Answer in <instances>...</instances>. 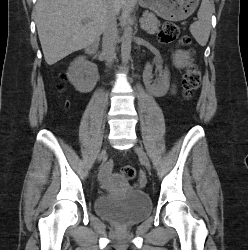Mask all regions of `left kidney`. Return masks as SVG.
<instances>
[{
	"label": "left kidney",
	"instance_id": "1",
	"mask_svg": "<svg viewBox=\"0 0 248 250\" xmlns=\"http://www.w3.org/2000/svg\"><path fill=\"white\" fill-rule=\"evenodd\" d=\"M158 87L162 89V91H166L169 87V74L166 73L161 80L158 81Z\"/></svg>",
	"mask_w": 248,
	"mask_h": 250
}]
</instances>
